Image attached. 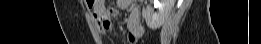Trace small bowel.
Instances as JSON below:
<instances>
[{
  "label": "small bowel",
  "instance_id": "obj_1",
  "mask_svg": "<svg viewBox=\"0 0 261 44\" xmlns=\"http://www.w3.org/2000/svg\"><path fill=\"white\" fill-rule=\"evenodd\" d=\"M131 4L128 0H118L113 7L108 8L104 4H98L93 7V16L97 22L100 34H107L113 29L112 21L109 15L116 17L121 10ZM144 34V27L141 24L140 10L134 5L127 19V40L129 43H135Z\"/></svg>",
  "mask_w": 261,
  "mask_h": 44
}]
</instances>
